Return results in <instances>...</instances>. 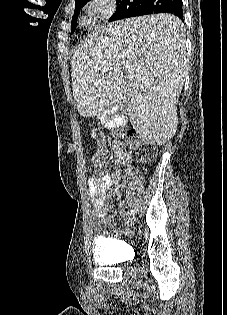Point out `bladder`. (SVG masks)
Listing matches in <instances>:
<instances>
[{
	"instance_id": "bladder-1",
	"label": "bladder",
	"mask_w": 227,
	"mask_h": 315,
	"mask_svg": "<svg viewBox=\"0 0 227 315\" xmlns=\"http://www.w3.org/2000/svg\"><path fill=\"white\" fill-rule=\"evenodd\" d=\"M120 245L116 239L98 238L94 241L92 255L97 263L110 265L116 263L117 257L108 249Z\"/></svg>"
}]
</instances>
